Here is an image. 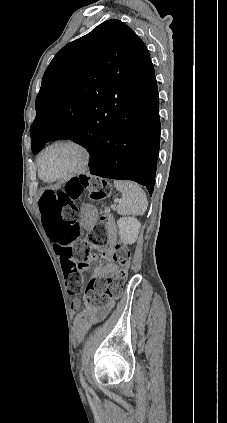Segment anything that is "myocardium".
I'll return each mask as SVG.
<instances>
[{
    "mask_svg": "<svg viewBox=\"0 0 227 423\" xmlns=\"http://www.w3.org/2000/svg\"><path fill=\"white\" fill-rule=\"evenodd\" d=\"M61 145H67L77 149L81 153V156H82L81 162L76 168H74L73 170H71L70 172L66 174H62L55 177H47L45 176L43 171L42 158L48 150L56 146H61ZM91 162H92V152L86 144H84L82 141L77 140L75 138H63L47 145L40 152L37 164H38V171L41 178L47 182H54L58 180H70L84 174L86 171H88L91 165Z\"/></svg>",
    "mask_w": 227,
    "mask_h": 423,
    "instance_id": "1",
    "label": "myocardium"
}]
</instances>
